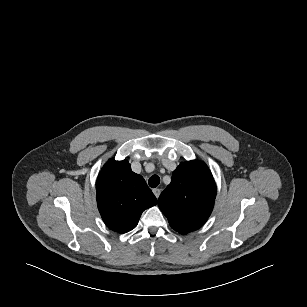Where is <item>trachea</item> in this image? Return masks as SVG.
<instances>
[{"label":"trachea","instance_id":"3493384b","mask_svg":"<svg viewBox=\"0 0 307 307\" xmlns=\"http://www.w3.org/2000/svg\"><path fill=\"white\" fill-rule=\"evenodd\" d=\"M148 183L150 187L155 188L160 183V177L158 175H153L149 178Z\"/></svg>","mask_w":307,"mask_h":307}]
</instances>
